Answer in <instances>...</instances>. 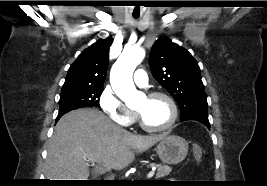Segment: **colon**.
Listing matches in <instances>:
<instances>
[{
	"mask_svg": "<svg viewBox=\"0 0 267 186\" xmlns=\"http://www.w3.org/2000/svg\"><path fill=\"white\" fill-rule=\"evenodd\" d=\"M193 153H194L195 158L197 160H199L201 158L202 154H203V151H202L200 146L194 145L193 146Z\"/></svg>",
	"mask_w": 267,
	"mask_h": 186,
	"instance_id": "5ec220e1",
	"label": "colon"
}]
</instances>
